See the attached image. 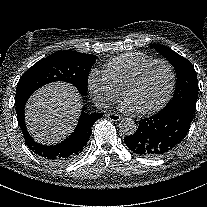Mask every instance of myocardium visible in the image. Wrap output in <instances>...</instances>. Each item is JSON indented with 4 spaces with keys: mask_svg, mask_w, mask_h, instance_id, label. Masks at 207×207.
Listing matches in <instances>:
<instances>
[{
    "mask_svg": "<svg viewBox=\"0 0 207 207\" xmlns=\"http://www.w3.org/2000/svg\"><path fill=\"white\" fill-rule=\"evenodd\" d=\"M156 64H162L165 67L168 68L170 75H171V82L168 88V91L165 95V98L163 100V102L160 104V106L158 108L164 107L165 105L168 104V102L170 101L172 94L174 92L175 86H176V72L174 70V67L172 66V64L164 59H156V60H152L148 63H146L145 65H143L132 77H130L127 82L125 83L123 89H122V98L126 101L127 95L129 90L136 84L138 83L142 77L144 76V74L154 65ZM158 108L154 109V110H149V111H134L136 115L138 116H147L150 115L152 113H154Z\"/></svg>",
    "mask_w": 207,
    "mask_h": 207,
    "instance_id": "f54148a6",
    "label": "myocardium"
}]
</instances>
